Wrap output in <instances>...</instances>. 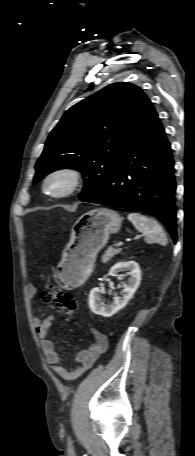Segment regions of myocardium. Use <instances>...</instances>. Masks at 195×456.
<instances>
[{
    "label": "myocardium",
    "mask_w": 195,
    "mask_h": 456,
    "mask_svg": "<svg viewBox=\"0 0 195 456\" xmlns=\"http://www.w3.org/2000/svg\"><path fill=\"white\" fill-rule=\"evenodd\" d=\"M62 177L66 180V186L59 192H52L48 189V183L50 180ZM82 183V174L80 171L74 168L62 167L49 172L42 183L43 192L49 197L61 199L73 194Z\"/></svg>",
    "instance_id": "myocardium-1"
}]
</instances>
